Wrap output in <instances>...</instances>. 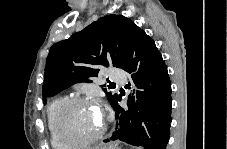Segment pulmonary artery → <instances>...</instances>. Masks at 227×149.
<instances>
[{
  "instance_id": "1",
  "label": "pulmonary artery",
  "mask_w": 227,
  "mask_h": 149,
  "mask_svg": "<svg viewBox=\"0 0 227 149\" xmlns=\"http://www.w3.org/2000/svg\"><path fill=\"white\" fill-rule=\"evenodd\" d=\"M108 74L109 79L115 83L123 82L126 79V73L119 68H110Z\"/></svg>"
}]
</instances>
